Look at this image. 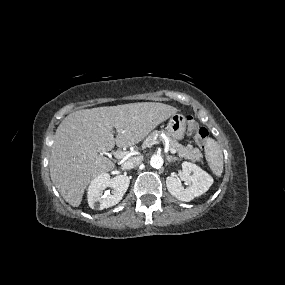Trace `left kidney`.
Masks as SVG:
<instances>
[{
  "instance_id": "obj_1",
  "label": "left kidney",
  "mask_w": 285,
  "mask_h": 285,
  "mask_svg": "<svg viewBox=\"0 0 285 285\" xmlns=\"http://www.w3.org/2000/svg\"><path fill=\"white\" fill-rule=\"evenodd\" d=\"M181 180L190 185L184 189ZM212 177L200 167L189 162L182 163L181 179L174 175L166 178L168 191L180 201L189 202L204 194L212 185Z\"/></svg>"
}]
</instances>
